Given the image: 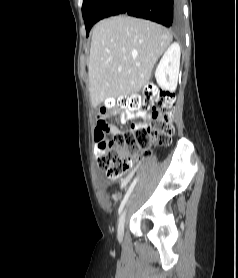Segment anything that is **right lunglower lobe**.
Returning <instances> with one entry per match:
<instances>
[{
	"label": "right lung lower lobe",
	"mask_w": 238,
	"mask_h": 278,
	"mask_svg": "<svg viewBox=\"0 0 238 278\" xmlns=\"http://www.w3.org/2000/svg\"><path fill=\"white\" fill-rule=\"evenodd\" d=\"M117 14L148 19L171 28L182 23L181 0H97L85 16L87 36L97 21Z\"/></svg>",
	"instance_id": "1"
}]
</instances>
